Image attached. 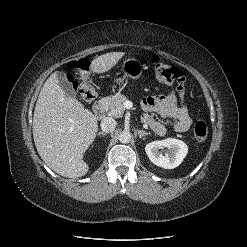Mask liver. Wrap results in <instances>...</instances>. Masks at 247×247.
Listing matches in <instances>:
<instances>
[{
	"label": "liver",
	"mask_w": 247,
	"mask_h": 247,
	"mask_svg": "<svg viewBox=\"0 0 247 247\" xmlns=\"http://www.w3.org/2000/svg\"><path fill=\"white\" fill-rule=\"evenodd\" d=\"M124 55V52L103 54L91 62L90 68L98 74L107 72ZM97 131L94 114L67 95L53 73L40 91L33 116V138L41 159L61 176H84L89 166L83 156Z\"/></svg>",
	"instance_id": "obj_1"
}]
</instances>
